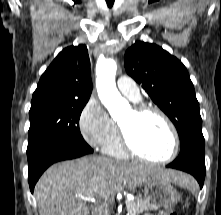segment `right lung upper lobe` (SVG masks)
Instances as JSON below:
<instances>
[{
  "label": "right lung upper lobe",
  "mask_w": 221,
  "mask_h": 215,
  "mask_svg": "<svg viewBox=\"0 0 221 215\" xmlns=\"http://www.w3.org/2000/svg\"><path fill=\"white\" fill-rule=\"evenodd\" d=\"M92 92L85 45L63 49L41 76L31 105L47 101H88Z\"/></svg>",
  "instance_id": "obj_1"
}]
</instances>
